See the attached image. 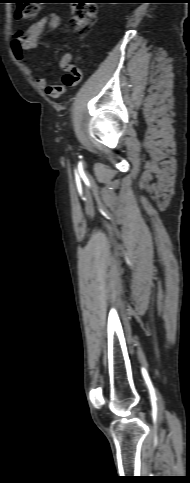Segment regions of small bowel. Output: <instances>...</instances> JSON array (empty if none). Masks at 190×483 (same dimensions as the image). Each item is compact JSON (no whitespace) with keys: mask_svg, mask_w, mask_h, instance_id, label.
<instances>
[{"mask_svg":"<svg viewBox=\"0 0 190 483\" xmlns=\"http://www.w3.org/2000/svg\"><path fill=\"white\" fill-rule=\"evenodd\" d=\"M47 27L52 30H58L61 27L60 17L55 13H47L26 31L15 32L10 41L13 57L18 61H23L28 52L37 48L39 37ZM69 62L70 56L66 54L62 57L61 66L65 71L73 75L75 81L72 85H76L81 79V70ZM34 80L39 88L45 89L47 94L52 97H58L62 93L63 88H59L57 84H49L47 78L43 75H36Z\"/></svg>","mask_w":190,"mask_h":483,"instance_id":"obj_1","label":"small bowel"}]
</instances>
